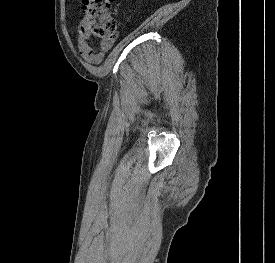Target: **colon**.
Here are the masks:
<instances>
[{
  "label": "colon",
  "instance_id": "1",
  "mask_svg": "<svg viewBox=\"0 0 275 263\" xmlns=\"http://www.w3.org/2000/svg\"><path fill=\"white\" fill-rule=\"evenodd\" d=\"M114 0H82L83 30L101 42L117 39L119 32L115 19L109 14Z\"/></svg>",
  "mask_w": 275,
  "mask_h": 263
}]
</instances>
